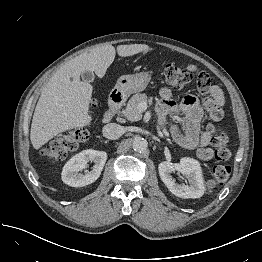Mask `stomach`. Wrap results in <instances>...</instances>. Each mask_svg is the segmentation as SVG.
Instances as JSON below:
<instances>
[{
    "instance_id": "1",
    "label": "stomach",
    "mask_w": 262,
    "mask_h": 262,
    "mask_svg": "<svg viewBox=\"0 0 262 262\" xmlns=\"http://www.w3.org/2000/svg\"><path fill=\"white\" fill-rule=\"evenodd\" d=\"M150 80L151 74L149 72L123 75L118 79L115 89L122 96H129L133 93L145 90Z\"/></svg>"
}]
</instances>
